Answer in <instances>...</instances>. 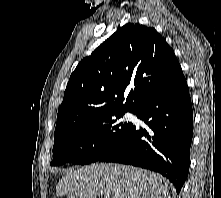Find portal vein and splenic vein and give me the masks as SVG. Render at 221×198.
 Wrapping results in <instances>:
<instances>
[{"mask_svg": "<svg viewBox=\"0 0 221 198\" xmlns=\"http://www.w3.org/2000/svg\"><path fill=\"white\" fill-rule=\"evenodd\" d=\"M105 198H110V195H104Z\"/></svg>", "mask_w": 221, "mask_h": 198, "instance_id": "1", "label": "portal vein and splenic vein"}]
</instances>
